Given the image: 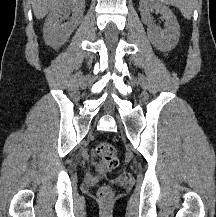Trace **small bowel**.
<instances>
[{
	"label": "small bowel",
	"instance_id": "c3829d8e",
	"mask_svg": "<svg viewBox=\"0 0 216 217\" xmlns=\"http://www.w3.org/2000/svg\"><path fill=\"white\" fill-rule=\"evenodd\" d=\"M92 164H93L94 168L99 172H103V171L107 170L102 166V164H99L95 161Z\"/></svg>",
	"mask_w": 216,
	"mask_h": 217
}]
</instances>
